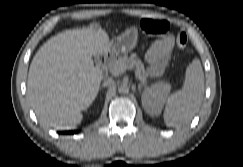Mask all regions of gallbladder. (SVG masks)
Segmentation results:
<instances>
[{"mask_svg": "<svg viewBox=\"0 0 243 167\" xmlns=\"http://www.w3.org/2000/svg\"><path fill=\"white\" fill-rule=\"evenodd\" d=\"M94 59H95L96 63H99L101 61V57L98 54L94 55Z\"/></svg>", "mask_w": 243, "mask_h": 167, "instance_id": "bac80fb5", "label": "gallbladder"}]
</instances>
